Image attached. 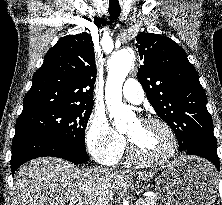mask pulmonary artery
Wrapping results in <instances>:
<instances>
[{
  "label": "pulmonary artery",
  "instance_id": "1",
  "mask_svg": "<svg viewBox=\"0 0 222 205\" xmlns=\"http://www.w3.org/2000/svg\"><path fill=\"white\" fill-rule=\"evenodd\" d=\"M122 94L126 100L134 104H139L144 99V91L140 83L132 78H129L125 81Z\"/></svg>",
  "mask_w": 222,
  "mask_h": 205
}]
</instances>
